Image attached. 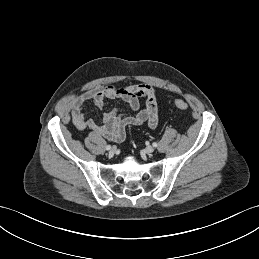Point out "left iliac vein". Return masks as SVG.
I'll return each mask as SVG.
<instances>
[{"mask_svg":"<svg viewBox=\"0 0 259 259\" xmlns=\"http://www.w3.org/2000/svg\"><path fill=\"white\" fill-rule=\"evenodd\" d=\"M145 150H146V152H147L148 154H151V153L154 152V148H153L152 146H150V145L147 146Z\"/></svg>","mask_w":259,"mask_h":259,"instance_id":"left-iliac-vein-1","label":"left iliac vein"}]
</instances>
